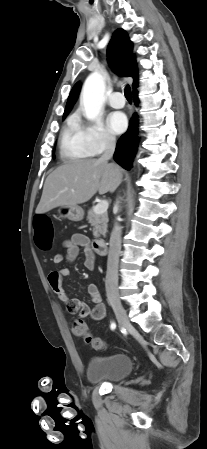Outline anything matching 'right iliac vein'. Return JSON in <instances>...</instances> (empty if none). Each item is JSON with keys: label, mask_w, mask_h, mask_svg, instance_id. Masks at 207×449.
Masks as SVG:
<instances>
[{"label": "right iliac vein", "mask_w": 207, "mask_h": 449, "mask_svg": "<svg viewBox=\"0 0 207 449\" xmlns=\"http://www.w3.org/2000/svg\"><path fill=\"white\" fill-rule=\"evenodd\" d=\"M109 303L115 312L120 327L121 328L131 327V323L121 302L117 298L110 296Z\"/></svg>", "instance_id": "obj_1"}]
</instances>
